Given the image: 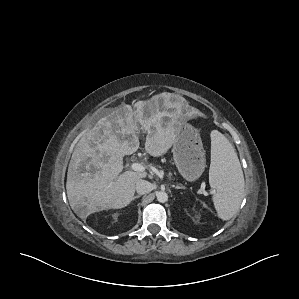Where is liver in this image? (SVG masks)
<instances>
[{
  "label": "liver",
  "mask_w": 299,
  "mask_h": 299,
  "mask_svg": "<svg viewBox=\"0 0 299 299\" xmlns=\"http://www.w3.org/2000/svg\"><path fill=\"white\" fill-rule=\"evenodd\" d=\"M133 111L121 105L101 118L77 143L67 172L69 204L81 219L105 209H120L133 200L136 182L146 172L125 171L123 157L139 148V134L146 133L145 150L154 157L167 153L174 141V122L164 123L167 111L159 104L139 101ZM169 103H165L168 109Z\"/></svg>",
  "instance_id": "liver-1"
}]
</instances>
